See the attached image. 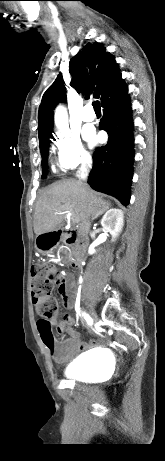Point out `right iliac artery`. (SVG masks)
Wrapping results in <instances>:
<instances>
[{"label": "right iliac artery", "mask_w": 165, "mask_h": 461, "mask_svg": "<svg viewBox=\"0 0 165 461\" xmlns=\"http://www.w3.org/2000/svg\"><path fill=\"white\" fill-rule=\"evenodd\" d=\"M75 309H76L77 311H79V304L76 303ZM83 316H84L85 320H86L89 324H92V323H93V321H92V319H91V317H90L89 315L83 313Z\"/></svg>", "instance_id": "right-iliac-artery-1"}]
</instances>
